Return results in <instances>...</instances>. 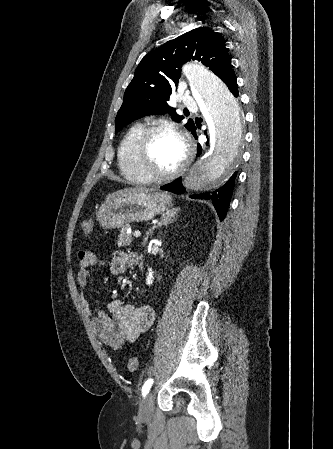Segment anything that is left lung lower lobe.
I'll use <instances>...</instances> for the list:
<instances>
[{"label":"left lung lower lobe","instance_id":"0a47b994","mask_svg":"<svg viewBox=\"0 0 333 449\" xmlns=\"http://www.w3.org/2000/svg\"><path fill=\"white\" fill-rule=\"evenodd\" d=\"M223 82L228 86L229 90L232 92V94L237 97L238 96V89L236 84V76L231 71L226 78L223 80ZM195 138L196 136V130L192 132ZM201 149H198V156L201 154ZM236 178V172L229 178V180L220 188H218L215 191L212 192H203V193H197L193 194L190 197L193 199H203V200H211L217 213L222 221L227 213L229 202L232 196V191L234 187V181ZM161 189L170 191L176 194H182L185 192V189L182 185V179L179 178L175 181H173L170 184L164 185L161 187Z\"/></svg>","mask_w":333,"mask_h":449}]
</instances>
